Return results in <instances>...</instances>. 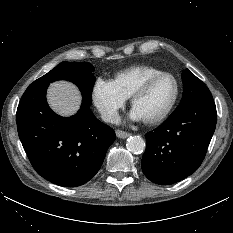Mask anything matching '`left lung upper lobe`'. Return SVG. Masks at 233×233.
<instances>
[{
	"instance_id": "1",
	"label": "left lung upper lobe",
	"mask_w": 233,
	"mask_h": 233,
	"mask_svg": "<svg viewBox=\"0 0 233 233\" xmlns=\"http://www.w3.org/2000/svg\"><path fill=\"white\" fill-rule=\"evenodd\" d=\"M182 81L183 96L180 104L174 112H178L187 105L194 102L212 98V95L207 86L188 69L182 71Z\"/></svg>"
}]
</instances>
